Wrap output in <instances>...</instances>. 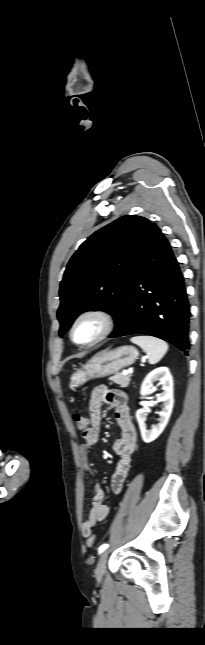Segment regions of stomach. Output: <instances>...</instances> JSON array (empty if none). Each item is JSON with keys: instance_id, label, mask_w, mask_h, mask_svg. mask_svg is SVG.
Returning a JSON list of instances; mask_svg holds the SVG:
<instances>
[{"instance_id": "obj_1", "label": "stomach", "mask_w": 205, "mask_h": 645, "mask_svg": "<svg viewBox=\"0 0 205 645\" xmlns=\"http://www.w3.org/2000/svg\"><path fill=\"white\" fill-rule=\"evenodd\" d=\"M137 356V350L128 345L113 350H103L93 356L81 369L72 373L70 388L74 390L91 379L116 374L122 368L133 364Z\"/></svg>"}]
</instances>
